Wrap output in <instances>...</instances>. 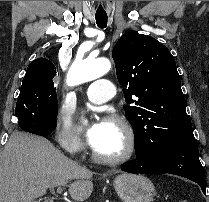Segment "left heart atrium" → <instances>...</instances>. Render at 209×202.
Returning a JSON list of instances; mask_svg holds the SVG:
<instances>
[{
    "label": "left heart atrium",
    "mask_w": 209,
    "mask_h": 202,
    "mask_svg": "<svg viewBox=\"0 0 209 202\" xmlns=\"http://www.w3.org/2000/svg\"><path fill=\"white\" fill-rule=\"evenodd\" d=\"M105 122L93 120L86 125L85 136L90 146L95 147L101 140Z\"/></svg>",
    "instance_id": "39dd6f15"
}]
</instances>
